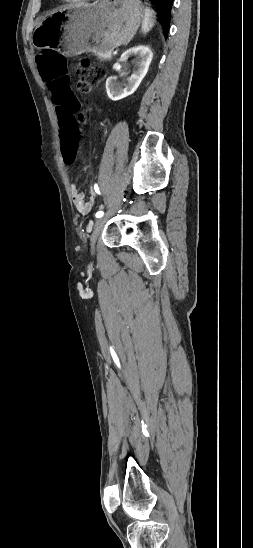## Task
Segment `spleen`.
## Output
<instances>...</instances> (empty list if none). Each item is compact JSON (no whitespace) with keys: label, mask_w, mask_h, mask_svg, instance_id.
Listing matches in <instances>:
<instances>
[{"label":"spleen","mask_w":253,"mask_h":548,"mask_svg":"<svg viewBox=\"0 0 253 548\" xmlns=\"http://www.w3.org/2000/svg\"><path fill=\"white\" fill-rule=\"evenodd\" d=\"M155 18H156L155 12L149 7H146L144 9V17L142 21L143 33H148L152 29V27L154 26Z\"/></svg>","instance_id":"spleen-1"}]
</instances>
